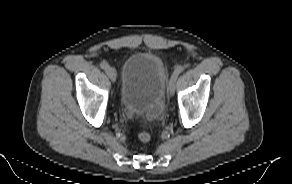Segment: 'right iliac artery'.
Here are the masks:
<instances>
[{
  "mask_svg": "<svg viewBox=\"0 0 292 184\" xmlns=\"http://www.w3.org/2000/svg\"><path fill=\"white\" fill-rule=\"evenodd\" d=\"M100 67L104 70H107L109 68V64L105 61L100 63Z\"/></svg>",
  "mask_w": 292,
  "mask_h": 184,
  "instance_id": "right-iliac-artery-1",
  "label": "right iliac artery"
}]
</instances>
